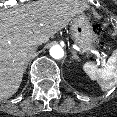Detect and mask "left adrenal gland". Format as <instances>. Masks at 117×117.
<instances>
[{
  "label": "left adrenal gland",
  "instance_id": "a2214340",
  "mask_svg": "<svg viewBox=\"0 0 117 117\" xmlns=\"http://www.w3.org/2000/svg\"><path fill=\"white\" fill-rule=\"evenodd\" d=\"M72 54H73V56H72L73 59L80 61V58L75 51H72Z\"/></svg>",
  "mask_w": 117,
  "mask_h": 117
}]
</instances>
